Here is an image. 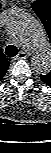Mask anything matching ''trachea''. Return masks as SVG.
I'll list each match as a JSON object with an SVG mask.
<instances>
[{
	"mask_svg": "<svg viewBox=\"0 0 51 153\" xmlns=\"http://www.w3.org/2000/svg\"><path fill=\"white\" fill-rule=\"evenodd\" d=\"M19 52L18 48L14 45H8L6 48H5V53L7 56L9 57H14L15 55H17Z\"/></svg>",
	"mask_w": 51,
	"mask_h": 153,
	"instance_id": "1",
	"label": "trachea"
}]
</instances>
